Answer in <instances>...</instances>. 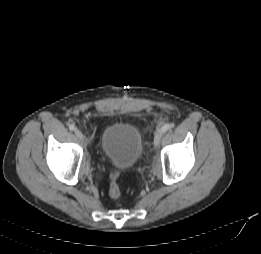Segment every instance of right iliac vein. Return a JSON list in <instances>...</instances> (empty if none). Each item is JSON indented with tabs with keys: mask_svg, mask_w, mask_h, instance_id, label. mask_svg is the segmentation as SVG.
<instances>
[{
	"mask_svg": "<svg viewBox=\"0 0 261 254\" xmlns=\"http://www.w3.org/2000/svg\"><path fill=\"white\" fill-rule=\"evenodd\" d=\"M74 133H75V135L77 136V138H79V139H81V140H84V139H85L80 129L76 128V129L74 130Z\"/></svg>",
	"mask_w": 261,
	"mask_h": 254,
	"instance_id": "right-iliac-vein-1",
	"label": "right iliac vein"
}]
</instances>
